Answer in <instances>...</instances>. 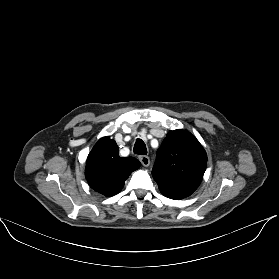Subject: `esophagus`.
<instances>
[{
    "label": "esophagus",
    "mask_w": 279,
    "mask_h": 279,
    "mask_svg": "<svg viewBox=\"0 0 279 279\" xmlns=\"http://www.w3.org/2000/svg\"><path fill=\"white\" fill-rule=\"evenodd\" d=\"M140 162L142 163L143 166L147 167L150 164V159L148 156H141Z\"/></svg>",
    "instance_id": "esophagus-1"
}]
</instances>
